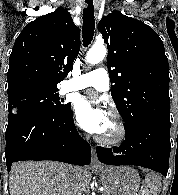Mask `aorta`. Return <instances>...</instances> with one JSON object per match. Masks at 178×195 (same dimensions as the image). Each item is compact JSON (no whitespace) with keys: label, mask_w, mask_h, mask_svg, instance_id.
<instances>
[{"label":"aorta","mask_w":178,"mask_h":195,"mask_svg":"<svg viewBox=\"0 0 178 195\" xmlns=\"http://www.w3.org/2000/svg\"><path fill=\"white\" fill-rule=\"evenodd\" d=\"M107 54V49L104 45H94L86 55V62L90 65L98 64Z\"/></svg>","instance_id":"1"}]
</instances>
